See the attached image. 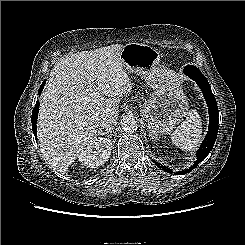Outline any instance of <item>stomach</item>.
Masks as SVG:
<instances>
[{"label": "stomach", "mask_w": 245, "mask_h": 245, "mask_svg": "<svg viewBox=\"0 0 245 245\" xmlns=\"http://www.w3.org/2000/svg\"><path fill=\"white\" fill-rule=\"evenodd\" d=\"M120 58L127 73L142 76L154 90L149 100L140 106L141 117L147 122L151 134L158 137L171 132L189 109L181 77L160 67V53L149 45L126 44Z\"/></svg>", "instance_id": "1"}]
</instances>
